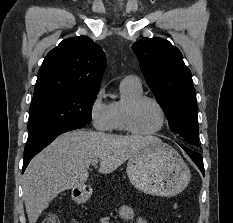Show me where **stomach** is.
I'll return each mask as SVG.
<instances>
[{
  "mask_svg": "<svg viewBox=\"0 0 233 223\" xmlns=\"http://www.w3.org/2000/svg\"><path fill=\"white\" fill-rule=\"evenodd\" d=\"M126 173L136 189L160 197L177 195L191 179V171L176 149L162 141L147 143L131 155ZM75 189L76 197H84L85 193H79V187Z\"/></svg>",
  "mask_w": 233,
  "mask_h": 223,
  "instance_id": "obj_1",
  "label": "stomach"
}]
</instances>
